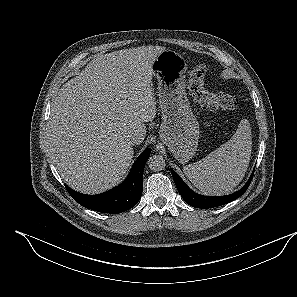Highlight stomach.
I'll use <instances>...</instances> for the list:
<instances>
[{
  "label": "stomach",
  "mask_w": 297,
  "mask_h": 297,
  "mask_svg": "<svg viewBox=\"0 0 297 297\" xmlns=\"http://www.w3.org/2000/svg\"><path fill=\"white\" fill-rule=\"evenodd\" d=\"M186 70L184 58L168 49L162 51L152 64L162 113L160 139L182 164L195 155L200 135L199 123L186 95Z\"/></svg>",
  "instance_id": "0dacf381"
}]
</instances>
